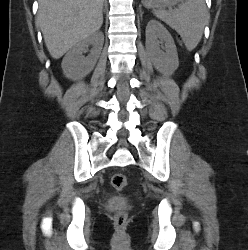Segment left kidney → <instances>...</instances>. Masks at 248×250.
<instances>
[{"label": "left kidney", "mask_w": 248, "mask_h": 250, "mask_svg": "<svg viewBox=\"0 0 248 250\" xmlns=\"http://www.w3.org/2000/svg\"><path fill=\"white\" fill-rule=\"evenodd\" d=\"M165 42V52L159 47V41ZM146 49L157 71L171 76L179 66L174 40L169 31L158 21L150 20L146 27Z\"/></svg>", "instance_id": "left-kidney-1"}]
</instances>
